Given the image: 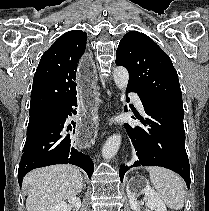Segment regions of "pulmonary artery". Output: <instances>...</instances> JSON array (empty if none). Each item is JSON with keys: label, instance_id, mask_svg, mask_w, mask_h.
Here are the masks:
<instances>
[{"label": "pulmonary artery", "instance_id": "1", "mask_svg": "<svg viewBox=\"0 0 209 211\" xmlns=\"http://www.w3.org/2000/svg\"><path fill=\"white\" fill-rule=\"evenodd\" d=\"M129 97L135 102L137 108L140 111H144V107H143L142 101H141L140 97L136 93H133V92L129 93Z\"/></svg>", "mask_w": 209, "mask_h": 211}]
</instances>
